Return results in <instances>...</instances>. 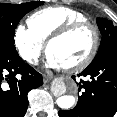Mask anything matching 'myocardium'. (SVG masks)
Instances as JSON below:
<instances>
[{
  "mask_svg": "<svg viewBox=\"0 0 117 117\" xmlns=\"http://www.w3.org/2000/svg\"><path fill=\"white\" fill-rule=\"evenodd\" d=\"M82 29H90L92 31L93 44L88 55L83 60L72 66L65 68L67 71L70 72H78L86 69L95 59L100 46V32L98 27L88 20L71 23L69 25L62 27L57 32H55L52 36H50V38L47 40L46 43V53L48 55L49 49L53 43L60 41Z\"/></svg>",
  "mask_w": 117,
  "mask_h": 117,
  "instance_id": "myocardium-1",
  "label": "myocardium"
}]
</instances>
